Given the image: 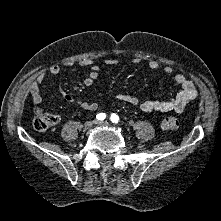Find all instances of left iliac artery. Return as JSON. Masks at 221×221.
<instances>
[{"mask_svg":"<svg viewBox=\"0 0 221 221\" xmlns=\"http://www.w3.org/2000/svg\"><path fill=\"white\" fill-rule=\"evenodd\" d=\"M110 119L113 123H118V121H119V117L116 114H111Z\"/></svg>","mask_w":221,"mask_h":221,"instance_id":"44dca946","label":"left iliac artery"}]
</instances>
